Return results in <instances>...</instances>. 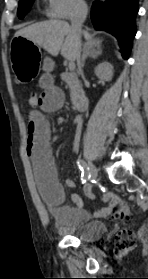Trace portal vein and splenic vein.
Segmentation results:
<instances>
[{"mask_svg": "<svg viewBox=\"0 0 148 279\" xmlns=\"http://www.w3.org/2000/svg\"><path fill=\"white\" fill-rule=\"evenodd\" d=\"M68 67L71 71H73L75 69V64L73 61H70L69 64H68Z\"/></svg>", "mask_w": 148, "mask_h": 279, "instance_id": "obj_1", "label": "portal vein and splenic vein"}]
</instances>
